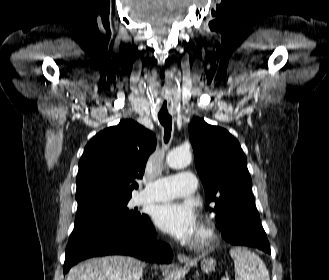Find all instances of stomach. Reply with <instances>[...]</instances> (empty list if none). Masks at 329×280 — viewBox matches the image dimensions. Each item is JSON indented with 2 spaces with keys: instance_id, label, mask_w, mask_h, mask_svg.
Listing matches in <instances>:
<instances>
[{
  "instance_id": "obj_1",
  "label": "stomach",
  "mask_w": 329,
  "mask_h": 280,
  "mask_svg": "<svg viewBox=\"0 0 329 280\" xmlns=\"http://www.w3.org/2000/svg\"><path fill=\"white\" fill-rule=\"evenodd\" d=\"M216 267V262L213 259H204L201 262V269L204 273L212 272Z\"/></svg>"
}]
</instances>
